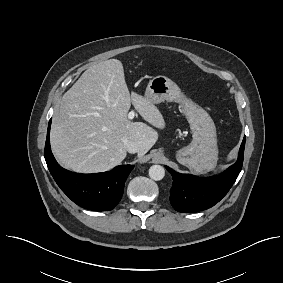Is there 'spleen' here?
Segmentation results:
<instances>
[{"instance_id": "3e777b00", "label": "spleen", "mask_w": 283, "mask_h": 283, "mask_svg": "<svg viewBox=\"0 0 283 283\" xmlns=\"http://www.w3.org/2000/svg\"><path fill=\"white\" fill-rule=\"evenodd\" d=\"M215 166L216 164L210 165L209 168L205 172L212 170Z\"/></svg>"}]
</instances>
